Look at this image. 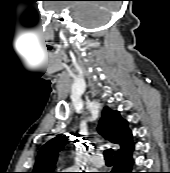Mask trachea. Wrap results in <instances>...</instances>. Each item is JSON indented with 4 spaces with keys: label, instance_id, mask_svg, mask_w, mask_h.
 <instances>
[{
    "label": "trachea",
    "instance_id": "1",
    "mask_svg": "<svg viewBox=\"0 0 170 173\" xmlns=\"http://www.w3.org/2000/svg\"><path fill=\"white\" fill-rule=\"evenodd\" d=\"M104 158L106 161H113L112 149H107L104 151Z\"/></svg>",
    "mask_w": 170,
    "mask_h": 173
}]
</instances>
